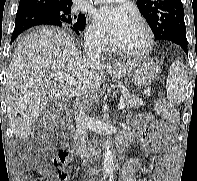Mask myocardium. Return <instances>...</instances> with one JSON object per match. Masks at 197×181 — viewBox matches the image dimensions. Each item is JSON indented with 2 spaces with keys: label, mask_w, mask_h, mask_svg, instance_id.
<instances>
[{
  "label": "myocardium",
  "mask_w": 197,
  "mask_h": 181,
  "mask_svg": "<svg viewBox=\"0 0 197 181\" xmlns=\"http://www.w3.org/2000/svg\"><path fill=\"white\" fill-rule=\"evenodd\" d=\"M134 22L137 23L144 31L145 33V43L144 45L139 49H127L118 46L117 44L114 45V50L119 52L122 55L128 56V57H142L146 55L153 47L154 44V32L150 25L147 23L146 20H144L141 17H136L134 19Z\"/></svg>",
  "instance_id": "myocardium-1"
}]
</instances>
